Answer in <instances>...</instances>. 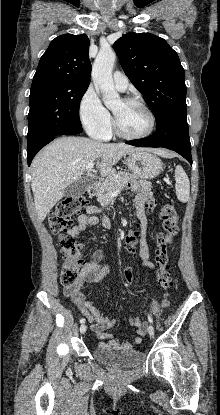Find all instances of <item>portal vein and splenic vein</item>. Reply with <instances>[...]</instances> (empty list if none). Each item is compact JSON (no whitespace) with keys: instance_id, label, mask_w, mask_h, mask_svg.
<instances>
[{"instance_id":"obj_1","label":"portal vein and splenic vein","mask_w":220,"mask_h":415,"mask_svg":"<svg viewBox=\"0 0 220 415\" xmlns=\"http://www.w3.org/2000/svg\"><path fill=\"white\" fill-rule=\"evenodd\" d=\"M93 166H94V163L93 162L88 163L86 165V170L90 171L93 168ZM119 192H120V190H116V191H114V192L111 193V196L112 197L117 196Z\"/></svg>"}]
</instances>
